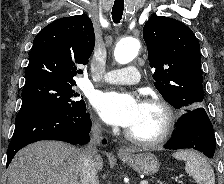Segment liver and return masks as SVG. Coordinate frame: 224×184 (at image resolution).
I'll return each mask as SVG.
<instances>
[{
    "label": "liver",
    "instance_id": "1",
    "mask_svg": "<svg viewBox=\"0 0 224 184\" xmlns=\"http://www.w3.org/2000/svg\"><path fill=\"white\" fill-rule=\"evenodd\" d=\"M79 154V148L59 141L28 145L10 163L8 184H80ZM96 167L103 168L101 156Z\"/></svg>",
    "mask_w": 224,
    "mask_h": 184
}]
</instances>
